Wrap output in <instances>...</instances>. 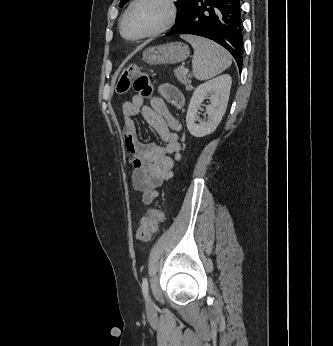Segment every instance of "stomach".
Listing matches in <instances>:
<instances>
[{
	"label": "stomach",
	"mask_w": 333,
	"mask_h": 346,
	"mask_svg": "<svg viewBox=\"0 0 333 346\" xmlns=\"http://www.w3.org/2000/svg\"><path fill=\"white\" fill-rule=\"evenodd\" d=\"M189 54L188 45L174 42L146 49L143 53V61L151 65L176 64L187 59Z\"/></svg>",
	"instance_id": "obj_1"
}]
</instances>
